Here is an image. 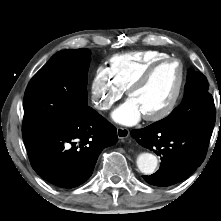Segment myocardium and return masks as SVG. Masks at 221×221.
Returning a JSON list of instances; mask_svg holds the SVG:
<instances>
[{
	"mask_svg": "<svg viewBox=\"0 0 221 221\" xmlns=\"http://www.w3.org/2000/svg\"><path fill=\"white\" fill-rule=\"evenodd\" d=\"M168 63H176L179 66L180 69V79L177 86V89L175 91V94L173 95L170 102L166 105L165 108H163L161 111L150 114V115H144L143 118L146 121L149 122H158L166 117H168L176 108L178 105L182 94L184 92L185 84H186V68L183 64V62L177 58L168 57L165 59L158 60L151 65H149L144 72L129 86L127 89V95L131 97V95L143 87L152 77V75L162 66L168 64Z\"/></svg>",
	"mask_w": 221,
	"mask_h": 221,
	"instance_id": "1",
	"label": "myocardium"
}]
</instances>
